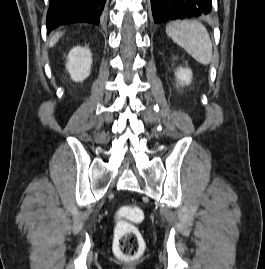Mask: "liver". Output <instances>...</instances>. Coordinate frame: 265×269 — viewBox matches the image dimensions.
I'll return each instance as SVG.
<instances>
[{
  "label": "liver",
  "mask_w": 265,
  "mask_h": 269,
  "mask_svg": "<svg viewBox=\"0 0 265 269\" xmlns=\"http://www.w3.org/2000/svg\"><path fill=\"white\" fill-rule=\"evenodd\" d=\"M61 36H62L61 32L55 33L50 39L49 47H53L58 42Z\"/></svg>",
  "instance_id": "liver-1"
}]
</instances>
